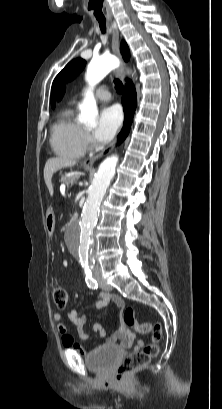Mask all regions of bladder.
I'll return each mask as SVG.
<instances>
[{
    "mask_svg": "<svg viewBox=\"0 0 222 409\" xmlns=\"http://www.w3.org/2000/svg\"><path fill=\"white\" fill-rule=\"evenodd\" d=\"M120 349L115 345L95 348L84 358L86 367L97 374H109L120 357Z\"/></svg>",
    "mask_w": 222,
    "mask_h": 409,
    "instance_id": "31cf9c89",
    "label": "bladder"
}]
</instances>
